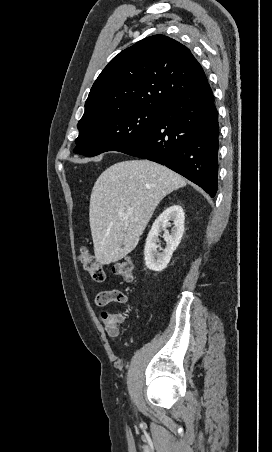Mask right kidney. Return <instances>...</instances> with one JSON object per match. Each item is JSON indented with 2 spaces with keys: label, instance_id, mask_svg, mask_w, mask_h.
<instances>
[{
  "label": "right kidney",
  "instance_id": "ca27d5eb",
  "mask_svg": "<svg viewBox=\"0 0 272 452\" xmlns=\"http://www.w3.org/2000/svg\"><path fill=\"white\" fill-rule=\"evenodd\" d=\"M184 220L185 214L183 208L179 205L168 207L155 220L147 236L144 249L145 264L147 268L161 272L167 267L173 252L176 250L183 236ZM169 221H172L174 225L171 234L166 230ZM162 230H165L163 238L166 241V247L163 252L160 253L157 250V248H160L157 243L159 242V233Z\"/></svg>",
  "mask_w": 272,
  "mask_h": 452
}]
</instances>
